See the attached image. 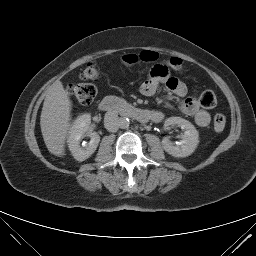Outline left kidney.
I'll return each mask as SVG.
<instances>
[{
  "label": "left kidney",
  "instance_id": "5707ae66",
  "mask_svg": "<svg viewBox=\"0 0 256 256\" xmlns=\"http://www.w3.org/2000/svg\"><path fill=\"white\" fill-rule=\"evenodd\" d=\"M174 125H178L185 130L184 134L182 135V140L175 145L167 137H165L162 140L163 149L174 157L183 158L190 156L195 151L199 143L198 131L194 125L181 117H170L164 123V127L166 129Z\"/></svg>",
  "mask_w": 256,
  "mask_h": 256
}]
</instances>
